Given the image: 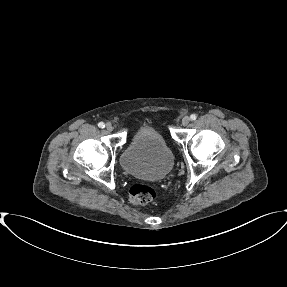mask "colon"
Returning a JSON list of instances; mask_svg holds the SVG:
<instances>
[{
	"label": "colon",
	"instance_id": "5ec220e1",
	"mask_svg": "<svg viewBox=\"0 0 287 287\" xmlns=\"http://www.w3.org/2000/svg\"><path fill=\"white\" fill-rule=\"evenodd\" d=\"M129 198L134 205L144 206L154 201L156 192L145 184H135L130 188Z\"/></svg>",
	"mask_w": 287,
	"mask_h": 287
}]
</instances>
